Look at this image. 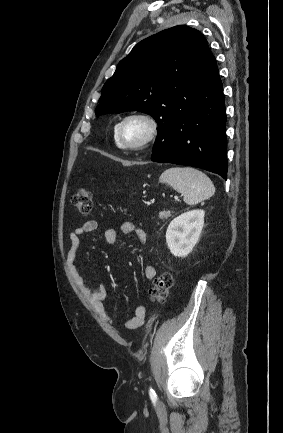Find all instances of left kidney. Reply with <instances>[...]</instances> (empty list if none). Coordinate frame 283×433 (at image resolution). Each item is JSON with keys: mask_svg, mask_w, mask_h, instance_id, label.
<instances>
[{"mask_svg": "<svg viewBox=\"0 0 283 433\" xmlns=\"http://www.w3.org/2000/svg\"><path fill=\"white\" fill-rule=\"evenodd\" d=\"M204 210H191L174 218L166 231V243L177 257H186L199 240L204 225Z\"/></svg>", "mask_w": 283, "mask_h": 433, "instance_id": "1", "label": "left kidney"}]
</instances>
